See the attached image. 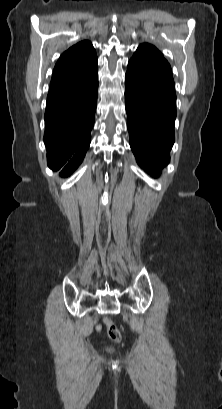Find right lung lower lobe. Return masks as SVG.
<instances>
[{"label": "right lung lower lobe", "instance_id": "1", "mask_svg": "<svg viewBox=\"0 0 222 409\" xmlns=\"http://www.w3.org/2000/svg\"><path fill=\"white\" fill-rule=\"evenodd\" d=\"M81 89L47 96L44 142L48 166L61 176L70 175L82 162L90 145V132L98 95V70L80 76Z\"/></svg>", "mask_w": 222, "mask_h": 409}]
</instances>
